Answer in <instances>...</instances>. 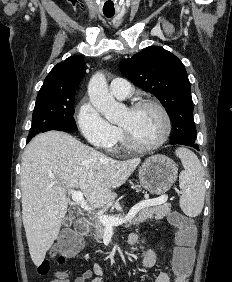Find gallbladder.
I'll use <instances>...</instances> for the list:
<instances>
[{
  "mask_svg": "<svg viewBox=\"0 0 232 282\" xmlns=\"http://www.w3.org/2000/svg\"><path fill=\"white\" fill-rule=\"evenodd\" d=\"M63 223L68 225V224H71L72 223V218L71 216H67L63 219Z\"/></svg>",
  "mask_w": 232,
  "mask_h": 282,
  "instance_id": "bac80fb5",
  "label": "gallbladder"
}]
</instances>
